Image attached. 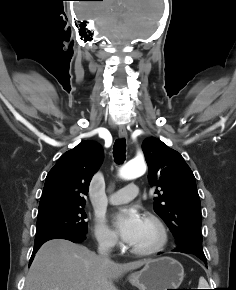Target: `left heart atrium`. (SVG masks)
Returning a JSON list of instances; mask_svg holds the SVG:
<instances>
[{
  "label": "left heart atrium",
  "mask_w": 236,
  "mask_h": 290,
  "mask_svg": "<svg viewBox=\"0 0 236 290\" xmlns=\"http://www.w3.org/2000/svg\"><path fill=\"white\" fill-rule=\"evenodd\" d=\"M113 222L123 241L132 244L142 227L143 219L136 210L124 209L115 215Z\"/></svg>",
  "instance_id": "left-heart-atrium-1"
}]
</instances>
